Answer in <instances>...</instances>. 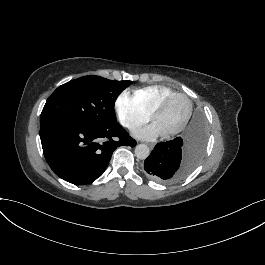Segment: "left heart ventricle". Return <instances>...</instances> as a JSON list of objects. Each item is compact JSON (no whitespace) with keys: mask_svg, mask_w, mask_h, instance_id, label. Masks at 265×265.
I'll return each mask as SVG.
<instances>
[{"mask_svg":"<svg viewBox=\"0 0 265 265\" xmlns=\"http://www.w3.org/2000/svg\"><path fill=\"white\" fill-rule=\"evenodd\" d=\"M184 113V100L179 97L172 98L157 113L155 124L161 132H166L180 123Z\"/></svg>","mask_w":265,"mask_h":265,"instance_id":"b2bd125f","label":"left heart ventricle"}]
</instances>
